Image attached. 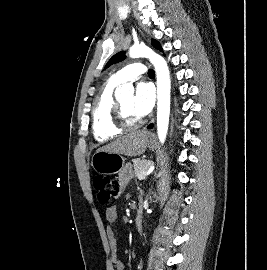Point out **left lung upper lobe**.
Segmentation results:
<instances>
[{
	"label": "left lung upper lobe",
	"instance_id": "1",
	"mask_svg": "<svg viewBox=\"0 0 267 270\" xmlns=\"http://www.w3.org/2000/svg\"><path fill=\"white\" fill-rule=\"evenodd\" d=\"M152 45L156 48L159 49L160 51H162V48L159 44V42H157L156 40H152ZM126 58L125 56V52L121 51L118 52L117 54H115L106 64L105 69L108 68L109 66H111L114 63L120 62L122 60H124Z\"/></svg>",
	"mask_w": 267,
	"mask_h": 270
}]
</instances>
